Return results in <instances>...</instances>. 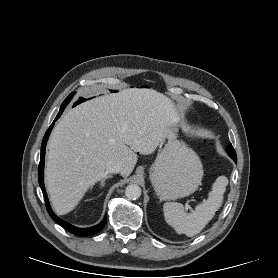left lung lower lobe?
I'll return each instance as SVG.
<instances>
[{
    "mask_svg": "<svg viewBox=\"0 0 278 278\" xmlns=\"http://www.w3.org/2000/svg\"><path fill=\"white\" fill-rule=\"evenodd\" d=\"M235 162H237V158L236 159H233Z\"/></svg>",
    "mask_w": 278,
    "mask_h": 278,
    "instance_id": "obj_1",
    "label": "left lung lower lobe"
}]
</instances>
